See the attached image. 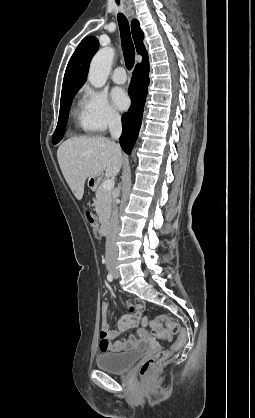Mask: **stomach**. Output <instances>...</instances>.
<instances>
[{
	"instance_id": "1",
	"label": "stomach",
	"mask_w": 255,
	"mask_h": 418,
	"mask_svg": "<svg viewBox=\"0 0 255 418\" xmlns=\"http://www.w3.org/2000/svg\"><path fill=\"white\" fill-rule=\"evenodd\" d=\"M98 185V180L96 177H89L88 178V186H90L92 189H95V187Z\"/></svg>"
}]
</instances>
